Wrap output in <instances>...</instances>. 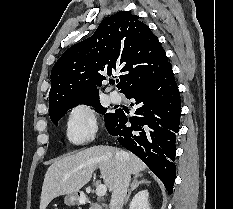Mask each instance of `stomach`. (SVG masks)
Returning a JSON list of instances; mask_svg holds the SVG:
<instances>
[{"instance_id":"obj_1","label":"stomach","mask_w":233,"mask_h":209,"mask_svg":"<svg viewBox=\"0 0 233 209\" xmlns=\"http://www.w3.org/2000/svg\"><path fill=\"white\" fill-rule=\"evenodd\" d=\"M64 202L68 206L78 205L80 203L79 193L77 192V193L67 194L64 197Z\"/></svg>"}]
</instances>
